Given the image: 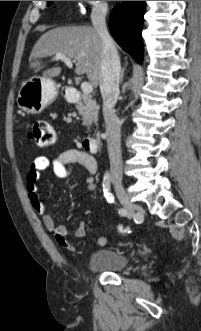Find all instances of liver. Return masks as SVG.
I'll return each mask as SVG.
<instances>
[{
  "label": "liver",
  "instance_id": "6515ba94",
  "mask_svg": "<svg viewBox=\"0 0 201 331\" xmlns=\"http://www.w3.org/2000/svg\"><path fill=\"white\" fill-rule=\"evenodd\" d=\"M61 53L76 63L75 73L86 74L92 87L101 81L102 41L98 32L88 26L59 27L44 33L30 54V68H40L41 60ZM60 67L43 72L44 77H57Z\"/></svg>",
  "mask_w": 201,
  "mask_h": 331
}]
</instances>
